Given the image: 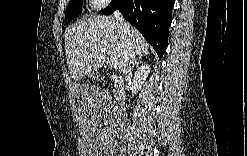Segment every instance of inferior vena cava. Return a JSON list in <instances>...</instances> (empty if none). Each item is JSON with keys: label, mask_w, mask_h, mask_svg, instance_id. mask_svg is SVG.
I'll return each instance as SVG.
<instances>
[{"label": "inferior vena cava", "mask_w": 247, "mask_h": 156, "mask_svg": "<svg viewBox=\"0 0 247 156\" xmlns=\"http://www.w3.org/2000/svg\"><path fill=\"white\" fill-rule=\"evenodd\" d=\"M113 15H114V18L116 19V21L120 24L122 32L124 34H127L129 31V27H128L127 23L124 21L121 13L119 11H115ZM135 56H136L135 52L133 51L131 45L128 44V50L124 55V60L122 62V66L120 68L123 75L127 76V75L131 74V71H132L131 66L135 62Z\"/></svg>", "instance_id": "obj_1"}]
</instances>
